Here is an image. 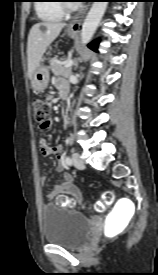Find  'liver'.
<instances>
[{
    "mask_svg": "<svg viewBox=\"0 0 158 275\" xmlns=\"http://www.w3.org/2000/svg\"><path fill=\"white\" fill-rule=\"evenodd\" d=\"M65 23L39 22L32 26L27 43L28 76L31 79L35 69L40 65L47 47L58 37Z\"/></svg>",
    "mask_w": 158,
    "mask_h": 275,
    "instance_id": "obj_1",
    "label": "liver"
}]
</instances>
